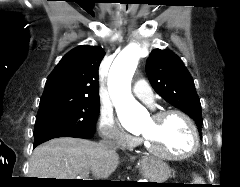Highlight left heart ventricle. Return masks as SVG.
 <instances>
[{"label": "left heart ventricle", "mask_w": 240, "mask_h": 187, "mask_svg": "<svg viewBox=\"0 0 240 187\" xmlns=\"http://www.w3.org/2000/svg\"><path fill=\"white\" fill-rule=\"evenodd\" d=\"M139 133L145 136L156 150L171 154L185 153L192 144L188 127L176 115L160 121L151 118L142 124Z\"/></svg>", "instance_id": "obj_1"}]
</instances>
